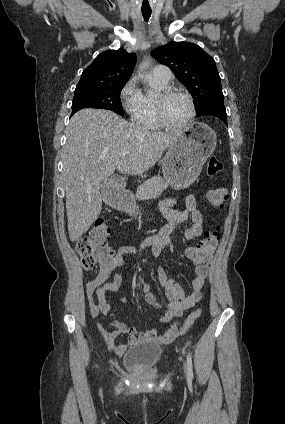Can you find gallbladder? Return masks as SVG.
<instances>
[{"label":"gallbladder","mask_w":285,"mask_h":424,"mask_svg":"<svg viewBox=\"0 0 285 424\" xmlns=\"http://www.w3.org/2000/svg\"><path fill=\"white\" fill-rule=\"evenodd\" d=\"M109 184V180L108 179H105V180H102L101 181V183H100V188H101V190L103 191V190H105V187H106V185H108Z\"/></svg>","instance_id":"obj_1"}]
</instances>
